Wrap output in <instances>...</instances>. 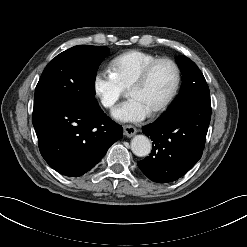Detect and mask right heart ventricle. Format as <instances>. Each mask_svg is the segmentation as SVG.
I'll use <instances>...</instances> for the list:
<instances>
[{"label":"right heart ventricle","mask_w":247,"mask_h":247,"mask_svg":"<svg viewBox=\"0 0 247 247\" xmlns=\"http://www.w3.org/2000/svg\"><path fill=\"white\" fill-rule=\"evenodd\" d=\"M157 56L140 51L130 50L115 57L109 64V72L115 82L124 90L128 89L133 80Z\"/></svg>","instance_id":"obj_1"}]
</instances>
